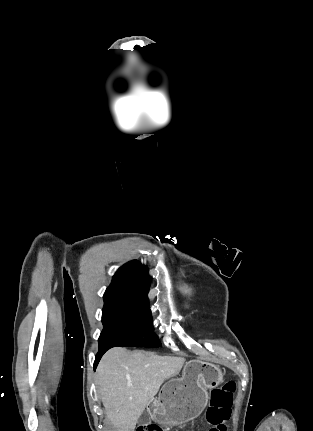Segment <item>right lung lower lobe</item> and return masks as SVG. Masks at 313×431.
Listing matches in <instances>:
<instances>
[{
  "label": "right lung lower lobe",
  "mask_w": 313,
  "mask_h": 431,
  "mask_svg": "<svg viewBox=\"0 0 313 431\" xmlns=\"http://www.w3.org/2000/svg\"><path fill=\"white\" fill-rule=\"evenodd\" d=\"M108 349H110V347L99 348V351H98V353H97V355H96L95 362H94V370L96 369V367H97V365H98V363H99V361H100L101 357L103 356V354H104Z\"/></svg>",
  "instance_id": "obj_1"
}]
</instances>
